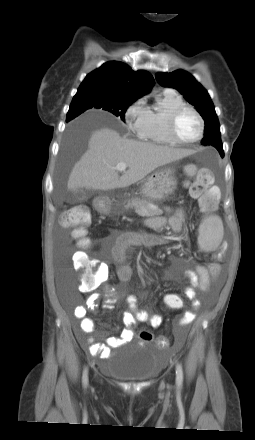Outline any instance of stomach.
<instances>
[{
    "label": "stomach",
    "instance_id": "stomach-1",
    "mask_svg": "<svg viewBox=\"0 0 255 440\" xmlns=\"http://www.w3.org/2000/svg\"><path fill=\"white\" fill-rule=\"evenodd\" d=\"M176 185L177 181L173 170L159 169L144 181L141 193L148 200L161 201L174 192ZM100 208L104 212L110 210V206L105 203L101 204Z\"/></svg>",
    "mask_w": 255,
    "mask_h": 440
}]
</instances>
